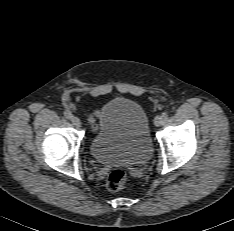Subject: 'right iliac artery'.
<instances>
[{
  "instance_id": "82829eb1",
  "label": "right iliac artery",
  "mask_w": 234,
  "mask_h": 231,
  "mask_svg": "<svg viewBox=\"0 0 234 231\" xmlns=\"http://www.w3.org/2000/svg\"><path fill=\"white\" fill-rule=\"evenodd\" d=\"M64 116L67 118V119H70L72 117V114L70 111H64Z\"/></svg>"
}]
</instances>
